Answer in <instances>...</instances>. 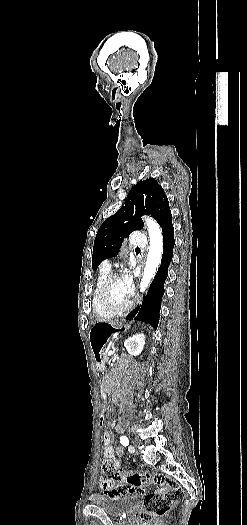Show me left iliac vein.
<instances>
[{
    "mask_svg": "<svg viewBox=\"0 0 247 525\" xmlns=\"http://www.w3.org/2000/svg\"><path fill=\"white\" fill-rule=\"evenodd\" d=\"M128 450H129V452L134 453L135 452V447L133 445H130L128 447Z\"/></svg>",
    "mask_w": 247,
    "mask_h": 525,
    "instance_id": "4c4485c4",
    "label": "left iliac vein"
}]
</instances>
